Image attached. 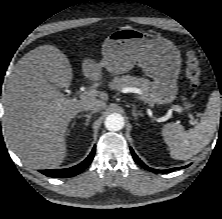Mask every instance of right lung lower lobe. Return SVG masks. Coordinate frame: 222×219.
<instances>
[{"label": "right lung lower lobe", "mask_w": 222, "mask_h": 219, "mask_svg": "<svg viewBox=\"0 0 222 219\" xmlns=\"http://www.w3.org/2000/svg\"><path fill=\"white\" fill-rule=\"evenodd\" d=\"M95 147L92 149L91 153L89 156L80 164L66 168V169H49V170H40V172L48 177H59V178H64V177H72L80 172H82L93 160L94 158V153H95Z\"/></svg>", "instance_id": "obj_1"}]
</instances>
